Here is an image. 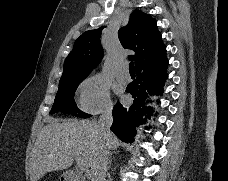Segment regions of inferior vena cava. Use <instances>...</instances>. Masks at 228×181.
Wrapping results in <instances>:
<instances>
[{
  "label": "inferior vena cava",
  "instance_id": "602c4592",
  "mask_svg": "<svg viewBox=\"0 0 228 181\" xmlns=\"http://www.w3.org/2000/svg\"><path fill=\"white\" fill-rule=\"evenodd\" d=\"M112 123V107L111 105H105L104 109L100 111V117L93 129L97 135L106 137L110 133ZM109 153L110 147H103V145L96 153H93L90 171L91 181H106Z\"/></svg>",
  "mask_w": 228,
  "mask_h": 181
}]
</instances>
